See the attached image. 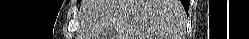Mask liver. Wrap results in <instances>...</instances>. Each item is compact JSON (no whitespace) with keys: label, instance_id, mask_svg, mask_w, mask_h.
Instances as JSON below:
<instances>
[{"label":"liver","instance_id":"1","mask_svg":"<svg viewBox=\"0 0 249 39\" xmlns=\"http://www.w3.org/2000/svg\"><path fill=\"white\" fill-rule=\"evenodd\" d=\"M179 0H84L80 39H177Z\"/></svg>","mask_w":249,"mask_h":39}]
</instances>
